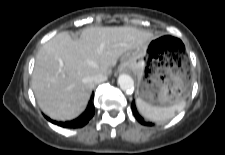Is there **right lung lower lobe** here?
Returning a JSON list of instances; mask_svg holds the SVG:
<instances>
[{
	"label": "right lung lower lobe",
	"instance_id": "98d812e1",
	"mask_svg": "<svg viewBox=\"0 0 225 155\" xmlns=\"http://www.w3.org/2000/svg\"><path fill=\"white\" fill-rule=\"evenodd\" d=\"M94 113H95V108H94V105L92 104V101L90 100L85 112L75 120L67 121V122H57L55 120L50 119L47 116H45V117L50 122H52L54 124H57L61 127L80 128V127H83L85 124L88 123V121L93 117Z\"/></svg>",
	"mask_w": 225,
	"mask_h": 155
}]
</instances>
